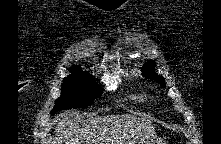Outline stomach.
Instances as JSON below:
<instances>
[{
  "mask_svg": "<svg viewBox=\"0 0 221 144\" xmlns=\"http://www.w3.org/2000/svg\"><path fill=\"white\" fill-rule=\"evenodd\" d=\"M139 144H163V141L155 134L149 137H144L139 141Z\"/></svg>",
  "mask_w": 221,
  "mask_h": 144,
  "instance_id": "stomach-1",
  "label": "stomach"
}]
</instances>
